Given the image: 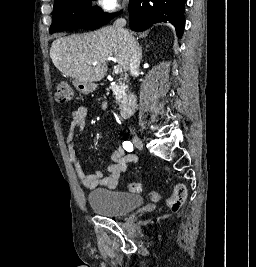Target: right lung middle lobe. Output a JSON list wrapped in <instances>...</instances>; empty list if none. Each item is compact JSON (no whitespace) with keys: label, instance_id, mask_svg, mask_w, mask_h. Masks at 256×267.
<instances>
[{"label":"right lung middle lobe","instance_id":"dd1d6c3e","mask_svg":"<svg viewBox=\"0 0 256 267\" xmlns=\"http://www.w3.org/2000/svg\"><path fill=\"white\" fill-rule=\"evenodd\" d=\"M92 0H58L54 2L50 33L74 29H96L108 23L116 14L103 13L93 7ZM91 8V9H90Z\"/></svg>","mask_w":256,"mask_h":267}]
</instances>
